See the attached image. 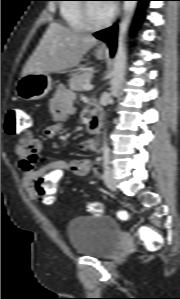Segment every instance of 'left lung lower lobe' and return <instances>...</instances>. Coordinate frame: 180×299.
<instances>
[{"label": "left lung lower lobe", "instance_id": "left-lung-lower-lobe-1", "mask_svg": "<svg viewBox=\"0 0 180 299\" xmlns=\"http://www.w3.org/2000/svg\"><path fill=\"white\" fill-rule=\"evenodd\" d=\"M135 1L140 2L139 10L137 13V20H136V25H139L141 19L143 18L145 6L151 0H135ZM94 36L97 37L98 39L104 40L105 42L108 43L110 52H111V56H113L115 48H116L117 25H113L110 28L96 32L94 34Z\"/></svg>", "mask_w": 180, "mask_h": 299}]
</instances>
